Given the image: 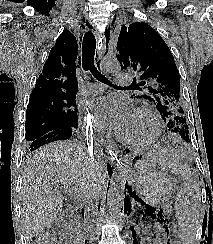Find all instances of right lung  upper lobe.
<instances>
[{
  "label": "right lung upper lobe",
  "mask_w": 213,
  "mask_h": 244,
  "mask_svg": "<svg viewBox=\"0 0 213 244\" xmlns=\"http://www.w3.org/2000/svg\"><path fill=\"white\" fill-rule=\"evenodd\" d=\"M77 54L78 45L75 36L70 31L64 30L51 49L43 66V73L38 77L30 98L50 95L76 96Z\"/></svg>",
  "instance_id": "1"
}]
</instances>
